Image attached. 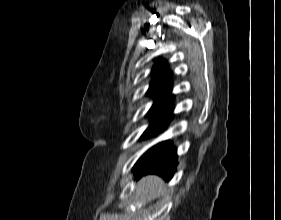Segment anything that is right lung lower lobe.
<instances>
[{"mask_svg":"<svg viewBox=\"0 0 281 220\" xmlns=\"http://www.w3.org/2000/svg\"><path fill=\"white\" fill-rule=\"evenodd\" d=\"M177 150L171 142L165 141L150 148L135 164L133 172L138 176L158 174L164 179L172 178L176 171Z\"/></svg>","mask_w":281,"mask_h":220,"instance_id":"obj_1","label":"right lung lower lobe"}]
</instances>
